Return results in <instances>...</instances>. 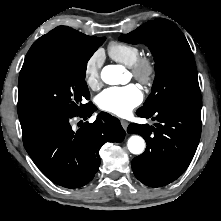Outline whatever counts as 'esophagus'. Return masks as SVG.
Masks as SVG:
<instances>
[{"label":"esophagus","instance_id":"34e87169","mask_svg":"<svg viewBox=\"0 0 221 221\" xmlns=\"http://www.w3.org/2000/svg\"><path fill=\"white\" fill-rule=\"evenodd\" d=\"M121 125H122V127L126 130L127 127H128V125H129V123H128V121H126V120H121Z\"/></svg>","mask_w":221,"mask_h":221}]
</instances>
